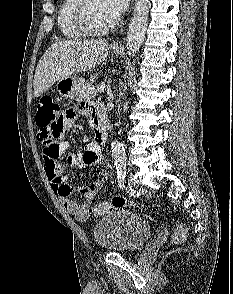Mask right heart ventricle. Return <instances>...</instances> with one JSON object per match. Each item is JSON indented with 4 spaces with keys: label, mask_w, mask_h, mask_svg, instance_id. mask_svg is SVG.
<instances>
[{
    "label": "right heart ventricle",
    "mask_w": 233,
    "mask_h": 294,
    "mask_svg": "<svg viewBox=\"0 0 233 294\" xmlns=\"http://www.w3.org/2000/svg\"><path fill=\"white\" fill-rule=\"evenodd\" d=\"M78 0H62L57 14V25L62 35L68 39H81L86 34L78 27L74 11Z\"/></svg>",
    "instance_id": "e07e8e85"
}]
</instances>
